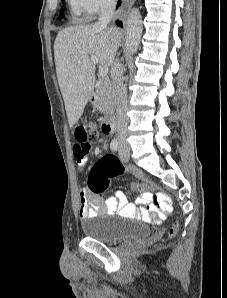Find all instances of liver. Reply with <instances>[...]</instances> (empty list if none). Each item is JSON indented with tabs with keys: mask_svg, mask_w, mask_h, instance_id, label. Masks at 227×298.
I'll list each match as a JSON object with an SVG mask.
<instances>
[{
	"mask_svg": "<svg viewBox=\"0 0 227 298\" xmlns=\"http://www.w3.org/2000/svg\"><path fill=\"white\" fill-rule=\"evenodd\" d=\"M121 38L119 29L96 24L58 32L54 43L56 74L71 128L83 114L94 89L95 66L89 56L95 55L101 66H112Z\"/></svg>",
	"mask_w": 227,
	"mask_h": 298,
	"instance_id": "liver-1",
	"label": "liver"
}]
</instances>
